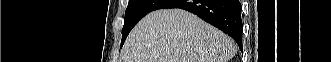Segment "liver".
<instances>
[{
  "mask_svg": "<svg viewBox=\"0 0 331 62\" xmlns=\"http://www.w3.org/2000/svg\"><path fill=\"white\" fill-rule=\"evenodd\" d=\"M236 50L232 38L194 14L157 10L129 34L123 62H227Z\"/></svg>",
  "mask_w": 331,
  "mask_h": 62,
  "instance_id": "1",
  "label": "liver"
}]
</instances>
